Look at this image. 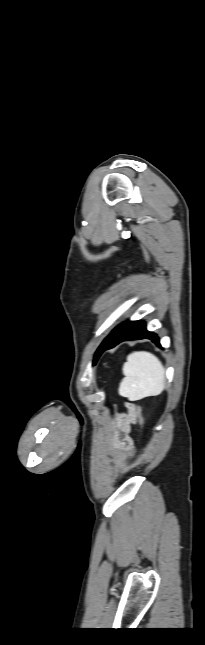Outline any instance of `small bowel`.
Masks as SVG:
<instances>
[{"label":"small bowel","instance_id":"small-bowel-1","mask_svg":"<svg viewBox=\"0 0 205 645\" xmlns=\"http://www.w3.org/2000/svg\"><path fill=\"white\" fill-rule=\"evenodd\" d=\"M127 413L116 415L115 426L109 434V447L116 461L125 459L133 453L134 442L130 436L131 426L136 422L134 405L126 404Z\"/></svg>","mask_w":205,"mask_h":645}]
</instances>
